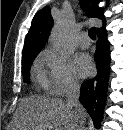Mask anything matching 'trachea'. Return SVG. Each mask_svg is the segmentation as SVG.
<instances>
[{"label": "trachea", "mask_w": 123, "mask_h": 130, "mask_svg": "<svg viewBox=\"0 0 123 130\" xmlns=\"http://www.w3.org/2000/svg\"><path fill=\"white\" fill-rule=\"evenodd\" d=\"M88 35H89V37H90L92 40H95V39H96V31H95V28L89 29Z\"/></svg>", "instance_id": "obj_1"}]
</instances>
